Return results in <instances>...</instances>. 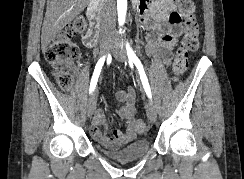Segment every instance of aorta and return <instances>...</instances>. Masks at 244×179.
<instances>
[{
	"label": "aorta",
	"instance_id": "aorta-1",
	"mask_svg": "<svg viewBox=\"0 0 244 179\" xmlns=\"http://www.w3.org/2000/svg\"><path fill=\"white\" fill-rule=\"evenodd\" d=\"M117 12L119 26H123L127 12V0H117Z\"/></svg>",
	"mask_w": 244,
	"mask_h": 179
}]
</instances>
